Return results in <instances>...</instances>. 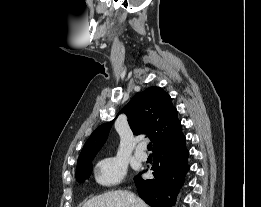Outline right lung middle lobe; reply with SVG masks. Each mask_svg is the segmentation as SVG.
Here are the masks:
<instances>
[{
	"mask_svg": "<svg viewBox=\"0 0 261 207\" xmlns=\"http://www.w3.org/2000/svg\"><path fill=\"white\" fill-rule=\"evenodd\" d=\"M94 157L88 158L81 163L77 164L76 167V179L78 182H84L88 179L92 172V160Z\"/></svg>",
	"mask_w": 261,
	"mask_h": 207,
	"instance_id": "1",
	"label": "right lung middle lobe"
}]
</instances>
